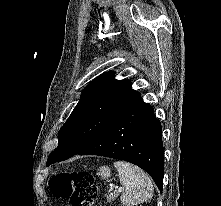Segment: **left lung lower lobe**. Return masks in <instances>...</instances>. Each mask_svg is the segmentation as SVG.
Listing matches in <instances>:
<instances>
[{
    "label": "left lung lower lobe",
    "instance_id": "0a47b994",
    "mask_svg": "<svg viewBox=\"0 0 221 206\" xmlns=\"http://www.w3.org/2000/svg\"><path fill=\"white\" fill-rule=\"evenodd\" d=\"M79 155H100L133 163L151 175L160 192L164 158L161 123L141 96L124 110Z\"/></svg>",
    "mask_w": 221,
    "mask_h": 206
}]
</instances>
